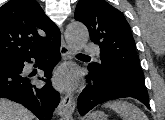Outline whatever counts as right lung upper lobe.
<instances>
[{"label": "right lung upper lobe", "mask_w": 165, "mask_h": 120, "mask_svg": "<svg viewBox=\"0 0 165 120\" xmlns=\"http://www.w3.org/2000/svg\"><path fill=\"white\" fill-rule=\"evenodd\" d=\"M60 38L36 0H10L0 7V64L37 51Z\"/></svg>", "instance_id": "1"}]
</instances>
